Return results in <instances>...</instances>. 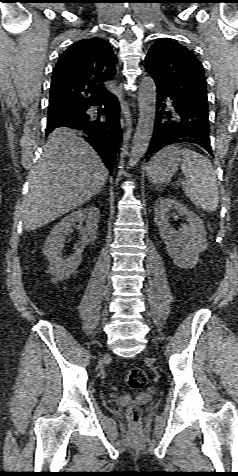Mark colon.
<instances>
[{"mask_svg": "<svg viewBox=\"0 0 238 476\" xmlns=\"http://www.w3.org/2000/svg\"><path fill=\"white\" fill-rule=\"evenodd\" d=\"M124 380L129 388L139 389L145 386L147 375L143 369L131 368L125 373ZM127 415L130 421L137 423L140 419L141 410L138 406L131 405L127 409Z\"/></svg>", "mask_w": 238, "mask_h": 476, "instance_id": "1", "label": "colon"}]
</instances>
